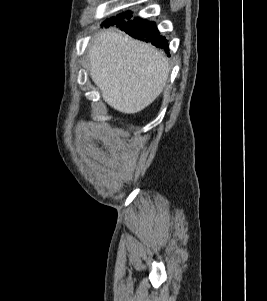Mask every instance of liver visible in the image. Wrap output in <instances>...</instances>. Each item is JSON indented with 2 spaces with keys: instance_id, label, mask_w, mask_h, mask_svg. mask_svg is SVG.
<instances>
[{
  "instance_id": "6515ba94",
  "label": "liver",
  "mask_w": 267,
  "mask_h": 301,
  "mask_svg": "<svg viewBox=\"0 0 267 301\" xmlns=\"http://www.w3.org/2000/svg\"><path fill=\"white\" fill-rule=\"evenodd\" d=\"M88 59L90 76L103 100L126 114L150 105L165 88L170 72L163 52L113 30L92 41Z\"/></svg>"
}]
</instances>
